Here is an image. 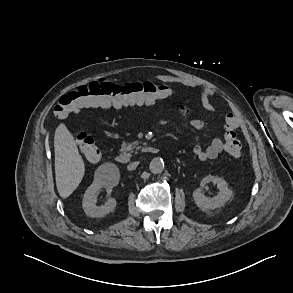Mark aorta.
<instances>
[{"mask_svg":"<svg viewBox=\"0 0 293 293\" xmlns=\"http://www.w3.org/2000/svg\"><path fill=\"white\" fill-rule=\"evenodd\" d=\"M149 169L152 173L158 174L164 170V161L161 158H154L150 164Z\"/></svg>","mask_w":293,"mask_h":293,"instance_id":"762f6f07","label":"aorta"}]
</instances>
